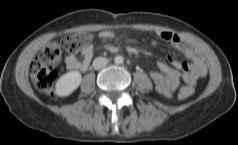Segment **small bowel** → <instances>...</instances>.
Segmentation results:
<instances>
[{"mask_svg": "<svg viewBox=\"0 0 238 145\" xmlns=\"http://www.w3.org/2000/svg\"><path fill=\"white\" fill-rule=\"evenodd\" d=\"M160 39L170 42L175 48L185 54L191 61L192 67L186 62H181L168 55L167 59L177 68L184 71L183 79L190 86L194 85L198 78L206 74V66L198 51L182 36L177 33L161 30L157 32ZM100 37L107 41L103 46L110 52H117L120 46L116 40L115 33L111 30H105L100 33ZM96 49L91 43H88L81 51V59L75 54H69L65 58L66 66L69 70L83 72L86 71L91 63ZM158 71L150 73V78L155 84L156 90L165 97H171L180 83L181 74L176 69L171 68L165 62L157 63Z\"/></svg>", "mask_w": 238, "mask_h": 145, "instance_id": "c3829d8e", "label": "small bowel"}]
</instances>
